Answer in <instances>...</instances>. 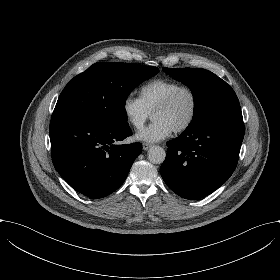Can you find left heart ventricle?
I'll return each mask as SVG.
<instances>
[{
	"instance_id": "obj_1",
	"label": "left heart ventricle",
	"mask_w": 280,
	"mask_h": 280,
	"mask_svg": "<svg viewBox=\"0 0 280 280\" xmlns=\"http://www.w3.org/2000/svg\"><path fill=\"white\" fill-rule=\"evenodd\" d=\"M192 109V95L185 91L177 97L175 102L169 108L155 112L153 114V119H163L175 129L189 119Z\"/></svg>"
}]
</instances>
